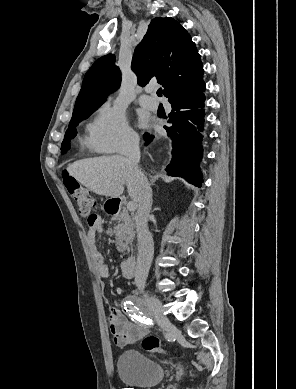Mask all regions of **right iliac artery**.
Wrapping results in <instances>:
<instances>
[{"instance_id":"1","label":"right iliac artery","mask_w":296,"mask_h":389,"mask_svg":"<svg viewBox=\"0 0 296 389\" xmlns=\"http://www.w3.org/2000/svg\"><path fill=\"white\" fill-rule=\"evenodd\" d=\"M138 308H148L144 302L140 299L129 297L124 301V309L127 311L128 315L134 313L135 309Z\"/></svg>"}]
</instances>
